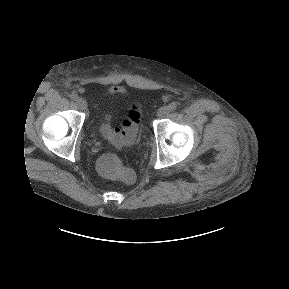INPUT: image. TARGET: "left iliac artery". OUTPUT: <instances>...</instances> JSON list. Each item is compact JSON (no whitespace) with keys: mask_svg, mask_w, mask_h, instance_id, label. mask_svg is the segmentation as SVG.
Here are the masks:
<instances>
[{"mask_svg":"<svg viewBox=\"0 0 289 289\" xmlns=\"http://www.w3.org/2000/svg\"><path fill=\"white\" fill-rule=\"evenodd\" d=\"M168 107H169L170 111H174L177 108V104L175 102H172V103L169 104Z\"/></svg>","mask_w":289,"mask_h":289,"instance_id":"1","label":"left iliac artery"}]
</instances>
